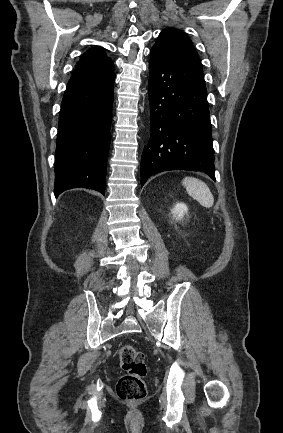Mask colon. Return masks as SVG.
I'll use <instances>...</instances> for the list:
<instances>
[{
  "label": "colon",
  "mask_w": 283,
  "mask_h": 433,
  "mask_svg": "<svg viewBox=\"0 0 283 433\" xmlns=\"http://www.w3.org/2000/svg\"><path fill=\"white\" fill-rule=\"evenodd\" d=\"M118 359L124 371L116 387L118 398L130 402L142 400L147 392L144 382L147 367L143 353L130 344H124L119 348Z\"/></svg>",
  "instance_id": "5ec220e1"
}]
</instances>
